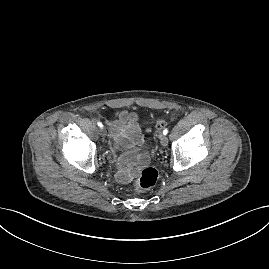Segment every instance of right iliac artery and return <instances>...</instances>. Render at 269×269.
<instances>
[{
	"mask_svg": "<svg viewBox=\"0 0 269 269\" xmlns=\"http://www.w3.org/2000/svg\"><path fill=\"white\" fill-rule=\"evenodd\" d=\"M97 125L102 128L103 127V124L101 122H98Z\"/></svg>",
	"mask_w": 269,
	"mask_h": 269,
	"instance_id": "1",
	"label": "right iliac artery"
}]
</instances>
